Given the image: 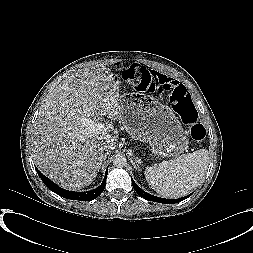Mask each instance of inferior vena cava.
<instances>
[{"label":"inferior vena cava","instance_id":"1","mask_svg":"<svg viewBox=\"0 0 253 253\" xmlns=\"http://www.w3.org/2000/svg\"><path fill=\"white\" fill-rule=\"evenodd\" d=\"M113 147L111 145H105L104 149L108 151L109 149H112Z\"/></svg>","mask_w":253,"mask_h":253}]
</instances>
